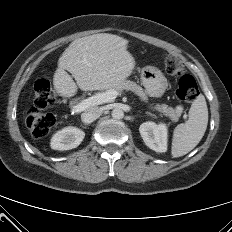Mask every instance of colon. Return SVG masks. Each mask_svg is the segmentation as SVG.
Returning a JSON list of instances; mask_svg holds the SVG:
<instances>
[{
  "instance_id": "obj_1",
  "label": "colon",
  "mask_w": 232,
  "mask_h": 232,
  "mask_svg": "<svg viewBox=\"0 0 232 232\" xmlns=\"http://www.w3.org/2000/svg\"><path fill=\"white\" fill-rule=\"evenodd\" d=\"M163 66L170 76H180L176 95L179 100L192 102L199 96V88L195 78L185 73L184 62L165 52L162 55ZM56 103V95L51 88L49 81L40 77L34 84V103L26 117V126L31 135L36 139L44 138L55 126V118L43 110Z\"/></svg>"
}]
</instances>
